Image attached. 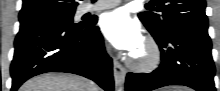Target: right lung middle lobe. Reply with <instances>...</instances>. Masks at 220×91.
Returning <instances> with one entry per match:
<instances>
[{"label":"right lung middle lobe","instance_id":"dd1d6c3e","mask_svg":"<svg viewBox=\"0 0 220 91\" xmlns=\"http://www.w3.org/2000/svg\"><path fill=\"white\" fill-rule=\"evenodd\" d=\"M75 8L76 7H73L69 10H62V11H58V12H53V13H50L46 16H52V17H55L59 20H65V21L69 22L70 24L77 26L81 23H73V15L75 12Z\"/></svg>","mask_w":220,"mask_h":91}]
</instances>
